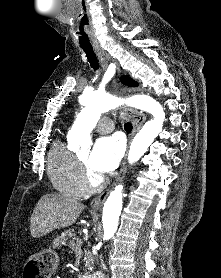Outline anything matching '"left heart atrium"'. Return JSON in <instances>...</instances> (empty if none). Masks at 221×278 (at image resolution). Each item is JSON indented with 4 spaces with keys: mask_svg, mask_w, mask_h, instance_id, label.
<instances>
[{
    "mask_svg": "<svg viewBox=\"0 0 221 278\" xmlns=\"http://www.w3.org/2000/svg\"><path fill=\"white\" fill-rule=\"evenodd\" d=\"M123 144L115 136L103 137L96 141L89 157V166L97 174L112 172L119 164Z\"/></svg>",
    "mask_w": 221,
    "mask_h": 278,
    "instance_id": "left-heart-atrium-1",
    "label": "left heart atrium"
}]
</instances>
